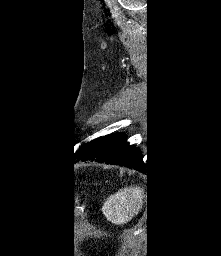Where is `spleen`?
<instances>
[{"label":"spleen","mask_w":221,"mask_h":256,"mask_svg":"<svg viewBox=\"0 0 221 256\" xmlns=\"http://www.w3.org/2000/svg\"><path fill=\"white\" fill-rule=\"evenodd\" d=\"M144 189L133 185L111 195L102 207L105 217L117 225L125 224L137 215L144 203Z\"/></svg>","instance_id":"3e777b00"}]
</instances>
